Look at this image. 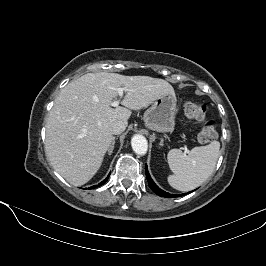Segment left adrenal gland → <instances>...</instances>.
<instances>
[{"mask_svg":"<svg viewBox=\"0 0 266 266\" xmlns=\"http://www.w3.org/2000/svg\"><path fill=\"white\" fill-rule=\"evenodd\" d=\"M160 145H163V139H161Z\"/></svg>","mask_w":266,"mask_h":266,"instance_id":"1","label":"left adrenal gland"}]
</instances>
